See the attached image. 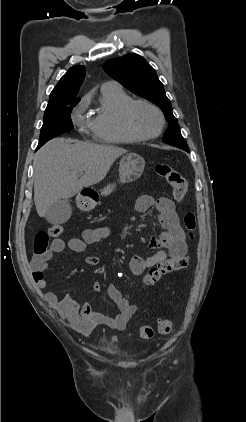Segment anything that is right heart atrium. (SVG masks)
I'll list each match as a JSON object with an SVG mask.
<instances>
[{"label":"right heart atrium","mask_w":246,"mask_h":422,"mask_svg":"<svg viewBox=\"0 0 246 422\" xmlns=\"http://www.w3.org/2000/svg\"><path fill=\"white\" fill-rule=\"evenodd\" d=\"M86 105L81 101L72 112V121L73 124L81 132L92 131V119L85 115Z\"/></svg>","instance_id":"right-heart-atrium-1"}]
</instances>
